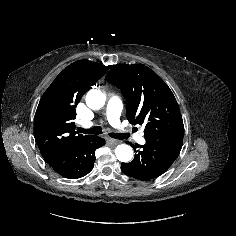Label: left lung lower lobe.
Segmentation results:
<instances>
[{
  "label": "left lung lower lobe",
  "instance_id": "0a47b994",
  "mask_svg": "<svg viewBox=\"0 0 236 236\" xmlns=\"http://www.w3.org/2000/svg\"><path fill=\"white\" fill-rule=\"evenodd\" d=\"M183 136L145 139L146 144L140 146L141 151H136V147L132 145L136 152L135 158L130 163H122V171L127 176L142 181L159 177L178 157L183 144Z\"/></svg>",
  "mask_w": 236,
  "mask_h": 236
}]
</instances>
